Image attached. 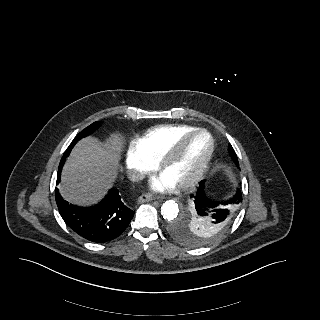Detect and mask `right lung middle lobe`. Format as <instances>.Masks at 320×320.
I'll return each instance as SVG.
<instances>
[{
    "instance_id": "1",
    "label": "right lung middle lobe",
    "mask_w": 320,
    "mask_h": 320,
    "mask_svg": "<svg viewBox=\"0 0 320 320\" xmlns=\"http://www.w3.org/2000/svg\"><path fill=\"white\" fill-rule=\"evenodd\" d=\"M99 127L98 122H94L92 123L90 126L86 127L84 130H82L72 141V143L69 145V147L67 148V150L65 151L60 164H59V168L58 170H62V167L65 163V159L69 156L72 148L74 147V145L83 137H86L88 135H90L91 133H93L97 128Z\"/></svg>"
}]
</instances>
